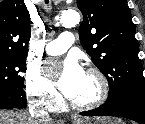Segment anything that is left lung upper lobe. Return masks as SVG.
<instances>
[{
	"mask_svg": "<svg viewBox=\"0 0 145 124\" xmlns=\"http://www.w3.org/2000/svg\"><path fill=\"white\" fill-rule=\"evenodd\" d=\"M77 6L84 16L81 44L109 83L106 102L124 96L145 99L136 29L126 0H77Z\"/></svg>",
	"mask_w": 145,
	"mask_h": 124,
	"instance_id": "left-lung-upper-lobe-1",
	"label": "left lung upper lobe"
}]
</instances>
